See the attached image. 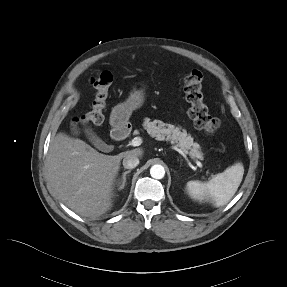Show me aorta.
Returning a JSON list of instances; mask_svg holds the SVG:
<instances>
[{
	"label": "aorta",
	"mask_w": 287,
	"mask_h": 287,
	"mask_svg": "<svg viewBox=\"0 0 287 287\" xmlns=\"http://www.w3.org/2000/svg\"><path fill=\"white\" fill-rule=\"evenodd\" d=\"M150 175L155 179H162L165 175V169L162 165H153L150 169Z\"/></svg>",
	"instance_id": "aorta-1"
}]
</instances>
